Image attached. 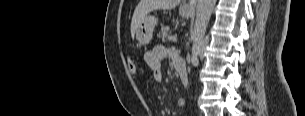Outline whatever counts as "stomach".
Masks as SVG:
<instances>
[{"instance_id":"1","label":"stomach","mask_w":305,"mask_h":116,"mask_svg":"<svg viewBox=\"0 0 305 116\" xmlns=\"http://www.w3.org/2000/svg\"><path fill=\"white\" fill-rule=\"evenodd\" d=\"M180 15L183 17H190L193 14L192 9H187L184 6H181L179 9ZM158 19L155 16L149 15L146 16L141 24L139 25V28L136 32V39L138 42L142 45H146L150 43L153 36V31L155 26L157 25Z\"/></svg>"}]
</instances>
